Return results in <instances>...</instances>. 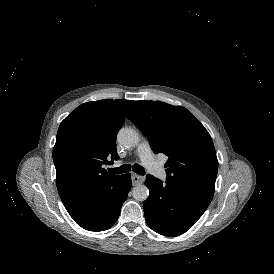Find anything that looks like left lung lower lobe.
Here are the masks:
<instances>
[{"mask_svg":"<svg viewBox=\"0 0 274 274\" xmlns=\"http://www.w3.org/2000/svg\"><path fill=\"white\" fill-rule=\"evenodd\" d=\"M150 195L143 203L147 224L165 236H178L191 228L210 204L213 194L167 180L146 177Z\"/></svg>","mask_w":274,"mask_h":274,"instance_id":"obj_1","label":"left lung lower lobe"}]
</instances>
